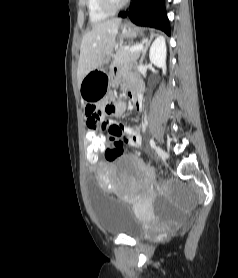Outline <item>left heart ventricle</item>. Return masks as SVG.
I'll list each match as a JSON object with an SVG mask.
<instances>
[{
	"label": "left heart ventricle",
	"instance_id": "1",
	"mask_svg": "<svg viewBox=\"0 0 238 278\" xmlns=\"http://www.w3.org/2000/svg\"><path fill=\"white\" fill-rule=\"evenodd\" d=\"M114 1L119 2V1H122V0H114Z\"/></svg>",
	"mask_w": 238,
	"mask_h": 278
}]
</instances>
